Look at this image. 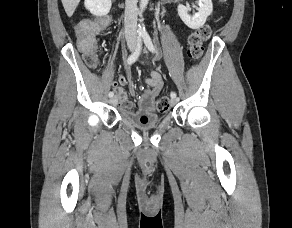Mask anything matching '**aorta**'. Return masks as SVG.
<instances>
[{
	"label": "aorta",
	"mask_w": 292,
	"mask_h": 228,
	"mask_svg": "<svg viewBox=\"0 0 292 228\" xmlns=\"http://www.w3.org/2000/svg\"><path fill=\"white\" fill-rule=\"evenodd\" d=\"M149 0H140V15H142L143 10L146 8ZM145 28L139 25V31H144Z\"/></svg>",
	"instance_id": "1"
}]
</instances>
